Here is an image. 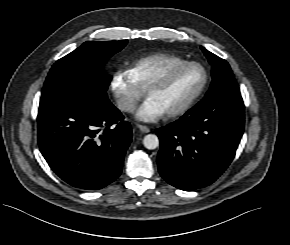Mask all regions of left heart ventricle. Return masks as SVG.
I'll use <instances>...</instances> for the list:
<instances>
[{
    "label": "left heart ventricle",
    "instance_id": "left-heart-ventricle-1",
    "mask_svg": "<svg viewBox=\"0 0 290 245\" xmlns=\"http://www.w3.org/2000/svg\"><path fill=\"white\" fill-rule=\"evenodd\" d=\"M202 82V70L198 67H187L172 73L162 85L149 90L147 95L155 98L168 112L184 104Z\"/></svg>",
    "mask_w": 290,
    "mask_h": 245
}]
</instances>
